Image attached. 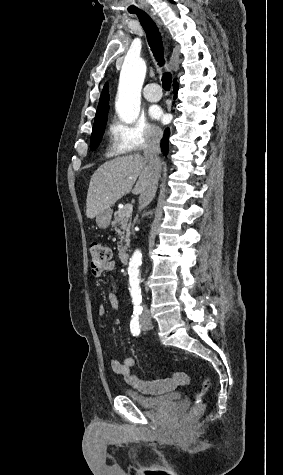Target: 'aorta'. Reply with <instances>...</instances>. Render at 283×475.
<instances>
[{"mask_svg":"<svg viewBox=\"0 0 283 475\" xmlns=\"http://www.w3.org/2000/svg\"><path fill=\"white\" fill-rule=\"evenodd\" d=\"M146 75V64L141 58H126L120 73L116 99V112L126 122H134L140 112L141 89ZM142 264V253L136 249L129 260L128 275L130 294L134 306L141 303L139 273Z\"/></svg>","mask_w":283,"mask_h":475,"instance_id":"obj_1","label":"aorta"}]
</instances>
